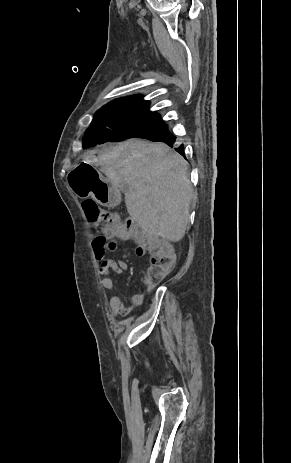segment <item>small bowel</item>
Wrapping results in <instances>:
<instances>
[{"label": "small bowel", "instance_id": "small-bowel-1", "mask_svg": "<svg viewBox=\"0 0 291 463\" xmlns=\"http://www.w3.org/2000/svg\"><path fill=\"white\" fill-rule=\"evenodd\" d=\"M91 247L94 253V257L98 264V273L101 277V286L111 293L109 300L110 310L113 316H126L134 308L142 305L144 295L142 292L134 295L127 305L124 304L122 298L116 292V286L112 279V274L122 275L127 270V263L120 259L118 256L112 259L105 257V251L109 250L119 254V246L111 236L95 237L92 240ZM135 254L137 256H143L144 252L136 246Z\"/></svg>", "mask_w": 291, "mask_h": 463}]
</instances>
